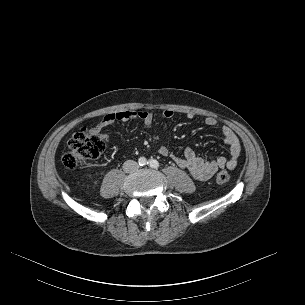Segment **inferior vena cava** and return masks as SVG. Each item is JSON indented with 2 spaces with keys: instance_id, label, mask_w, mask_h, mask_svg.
I'll return each instance as SVG.
<instances>
[{
  "instance_id": "1",
  "label": "inferior vena cava",
  "mask_w": 305,
  "mask_h": 305,
  "mask_svg": "<svg viewBox=\"0 0 305 305\" xmlns=\"http://www.w3.org/2000/svg\"><path fill=\"white\" fill-rule=\"evenodd\" d=\"M139 168L138 163L133 160H127L123 164V170L126 173H132Z\"/></svg>"
}]
</instances>
